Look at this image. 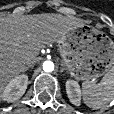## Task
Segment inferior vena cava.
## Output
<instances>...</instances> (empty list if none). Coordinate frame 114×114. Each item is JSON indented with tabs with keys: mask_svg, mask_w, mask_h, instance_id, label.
Wrapping results in <instances>:
<instances>
[{
	"mask_svg": "<svg viewBox=\"0 0 114 114\" xmlns=\"http://www.w3.org/2000/svg\"><path fill=\"white\" fill-rule=\"evenodd\" d=\"M34 64H35V61H27L26 62L27 66H34Z\"/></svg>",
	"mask_w": 114,
	"mask_h": 114,
	"instance_id": "obj_1",
	"label": "inferior vena cava"
}]
</instances>
